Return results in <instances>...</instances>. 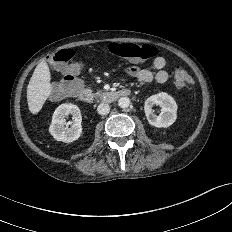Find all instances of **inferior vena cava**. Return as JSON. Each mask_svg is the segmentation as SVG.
<instances>
[{
  "mask_svg": "<svg viewBox=\"0 0 232 232\" xmlns=\"http://www.w3.org/2000/svg\"><path fill=\"white\" fill-rule=\"evenodd\" d=\"M110 111V106L106 103H101L97 107V112L100 115H107Z\"/></svg>",
  "mask_w": 232,
  "mask_h": 232,
  "instance_id": "1",
  "label": "inferior vena cava"
}]
</instances>
